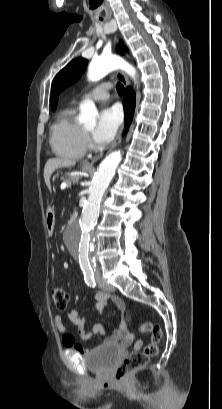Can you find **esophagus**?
Here are the masks:
<instances>
[{
  "label": "esophagus",
  "instance_id": "34e87169",
  "mask_svg": "<svg viewBox=\"0 0 222 409\" xmlns=\"http://www.w3.org/2000/svg\"><path fill=\"white\" fill-rule=\"evenodd\" d=\"M113 30H114V32L117 31V24L116 23H114V25H113ZM116 42H117V36L115 35L114 43L116 44ZM116 77L123 84V86L125 88L129 86V81L127 80L126 76L123 74L122 71H117ZM123 132H124V124L121 126V128H120V130L118 132V135H117L116 139L114 140V142L109 147H107L103 152H101V153H99V154H97V155H95L93 157H89V158L85 159L83 161V163H82L83 166L88 167V168H92L96 161H98L100 158H102L103 155L108 154L113 148H115L120 143V141L122 139Z\"/></svg>",
  "mask_w": 222,
  "mask_h": 409
}]
</instances>
